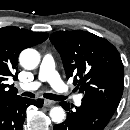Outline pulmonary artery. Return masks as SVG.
<instances>
[{"mask_svg": "<svg viewBox=\"0 0 130 130\" xmlns=\"http://www.w3.org/2000/svg\"><path fill=\"white\" fill-rule=\"evenodd\" d=\"M45 81L49 82L52 88L59 94L66 97H73L76 105L81 104V96H74L69 87L62 81L59 74L55 70L54 58L50 53H45L43 56L38 73V80L22 84L21 89L29 91L35 90L40 86L41 82Z\"/></svg>", "mask_w": 130, "mask_h": 130, "instance_id": "1", "label": "pulmonary artery"}]
</instances>
